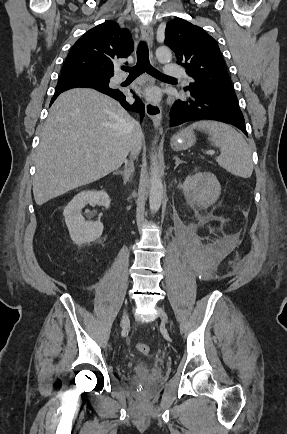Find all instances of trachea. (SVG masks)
<instances>
[{
	"label": "trachea",
	"mask_w": 287,
	"mask_h": 434,
	"mask_svg": "<svg viewBox=\"0 0 287 434\" xmlns=\"http://www.w3.org/2000/svg\"><path fill=\"white\" fill-rule=\"evenodd\" d=\"M123 71L129 73L128 78H137L142 73L147 72L156 78H172L170 76L164 75L160 71L156 70L149 61V50L146 42L141 41L137 50V63L133 67H122Z\"/></svg>",
	"instance_id": "3493384b"
}]
</instances>
